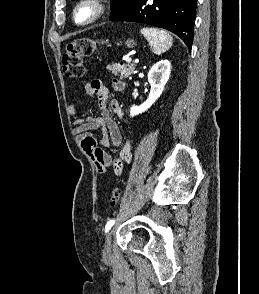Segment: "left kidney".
Wrapping results in <instances>:
<instances>
[{"instance_id":"5707ae66","label":"left kidney","mask_w":259,"mask_h":294,"mask_svg":"<svg viewBox=\"0 0 259 294\" xmlns=\"http://www.w3.org/2000/svg\"><path fill=\"white\" fill-rule=\"evenodd\" d=\"M170 73L171 64L167 59L161 60L151 67L148 73V82L151 86L149 96L140 106L133 105L130 108V115L132 117L147 111L155 103L161 96Z\"/></svg>"}]
</instances>
